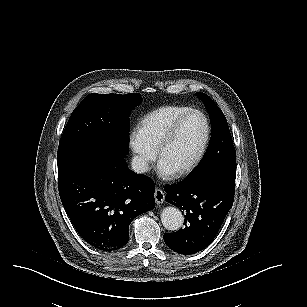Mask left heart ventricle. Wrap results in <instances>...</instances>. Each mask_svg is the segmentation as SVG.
I'll return each mask as SVG.
<instances>
[{"mask_svg":"<svg viewBox=\"0 0 307 307\" xmlns=\"http://www.w3.org/2000/svg\"><path fill=\"white\" fill-rule=\"evenodd\" d=\"M198 125L197 118L193 116L182 122L178 128L175 141L165 150V158L169 163L176 165L181 161L182 165H187L193 159L202 138Z\"/></svg>","mask_w":307,"mask_h":307,"instance_id":"left-heart-ventricle-1","label":"left heart ventricle"}]
</instances>
